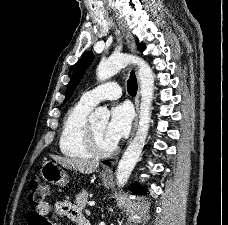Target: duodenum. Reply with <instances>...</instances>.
Masks as SVG:
<instances>
[{"label": "duodenum", "instance_id": "1", "mask_svg": "<svg viewBox=\"0 0 228 225\" xmlns=\"http://www.w3.org/2000/svg\"><path fill=\"white\" fill-rule=\"evenodd\" d=\"M78 225H90V223L85 218H81Z\"/></svg>", "mask_w": 228, "mask_h": 225}]
</instances>
